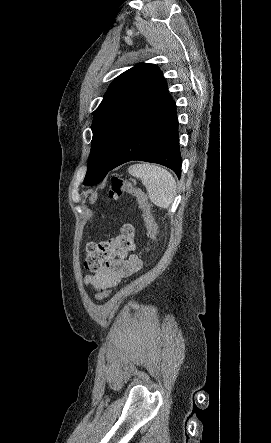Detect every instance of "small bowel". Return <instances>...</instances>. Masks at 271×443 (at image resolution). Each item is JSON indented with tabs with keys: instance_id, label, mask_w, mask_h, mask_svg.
I'll return each mask as SVG.
<instances>
[{
	"instance_id": "small-bowel-1",
	"label": "small bowel",
	"mask_w": 271,
	"mask_h": 443,
	"mask_svg": "<svg viewBox=\"0 0 271 443\" xmlns=\"http://www.w3.org/2000/svg\"><path fill=\"white\" fill-rule=\"evenodd\" d=\"M141 268V260L136 255L119 257L111 260L99 271L85 277V284L95 290L111 288L137 272Z\"/></svg>"
}]
</instances>
